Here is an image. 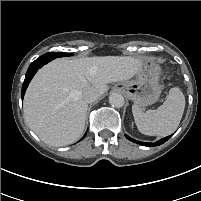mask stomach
Returning a JSON list of instances; mask_svg holds the SVG:
<instances>
[{
	"mask_svg": "<svg viewBox=\"0 0 201 201\" xmlns=\"http://www.w3.org/2000/svg\"><path fill=\"white\" fill-rule=\"evenodd\" d=\"M159 76L160 67L149 58L144 60L135 78L121 83L118 89L139 108L146 107L154 104L161 94Z\"/></svg>",
	"mask_w": 201,
	"mask_h": 201,
	"instance_id": "obj_1",
	"label": "stomach"
}]
</instances>
